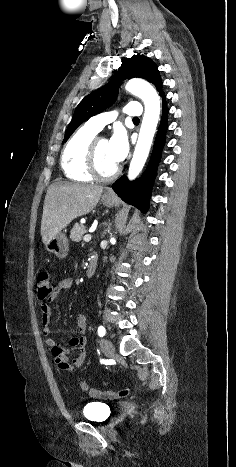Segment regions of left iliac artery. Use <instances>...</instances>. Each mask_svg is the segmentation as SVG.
I'll return each instance as SVG.
<instances>
[{
  "label": "left iliac artery",
  "instance_id": "44dca946",
  "mask_svg": "<svg viewBox=\"0 0 236 467\" xmlns=\"http://www.w3.org/2000/svg\"><path fill=\"white\" fill-rule=\"evenodd\" d=\"M105 334H106V330H105L104 326H102V325L99 326V327H98V335H99V337H103Z\"/></svg>",
  "mask_w": 236,
  "mask_h": 467
}]
</instances>
